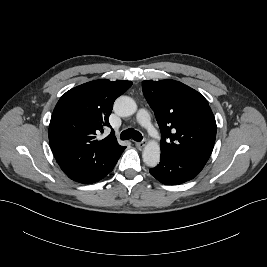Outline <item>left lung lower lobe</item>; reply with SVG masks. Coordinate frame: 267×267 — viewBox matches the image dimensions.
<instances>
[{
  "instance_id": "0a47b994",
  "label": "left lung lower lobe",
  "mask_w": 267,
  "mask_h": 267,
  "mask_svg": "<svg viewBox=\"0 0 267 267\" xmlns=\"http://www.w3.org/2000/svg\"><path fill=\"white\" fill-rule=\"evenodd\" d=\"M205 164L192 158L161 154L159 165L150 169V173L163 184L176 185L196 177Z\"/></svg>"
}]
</instances>
